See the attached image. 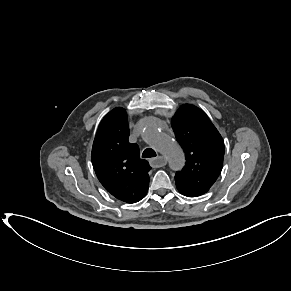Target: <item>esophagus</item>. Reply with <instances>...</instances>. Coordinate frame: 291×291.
<instances>
[{"instance_id": "esophagus-1", "label": "esophagus", "mask_w": 291, "mask_h": 291, "mask_svg": "<svg viewBox=\"0 0 291 291\" xmlns=\"http://www.w3.org/2000/svg\"><path fill=\"white\" fill-rule=\"evenodd\" d=\"M167 164V159L164 156H157L150 160V165L154 168L163 167Z\"/></svg>"}]
</instances>
